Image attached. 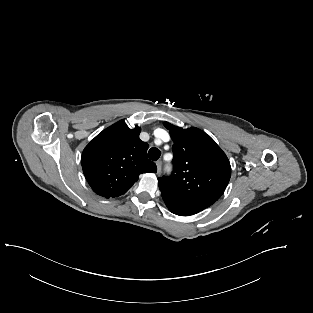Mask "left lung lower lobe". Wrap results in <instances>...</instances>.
<instances>
[{
  "label": "left lung lower lobe",
  "instance_id": "0a47b994",
  "mask_svg": "<svg viewBox=\"0 0 313 313\" xmlns=\"http://www.w3.org/2000/svg\"><path fill=\"white\" fill-rule=\"evenodd\" d=\"M162 198L166 206L168 207V209L176 215L189 216V215H194L201 211L193 207L187 206L183 203H180L170 197L162 195Z\"/></svg>",
  "mask_w": 313,
  "mask_h": 313
}]
</instances>
